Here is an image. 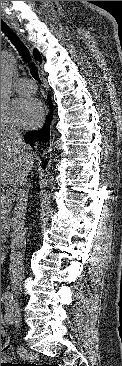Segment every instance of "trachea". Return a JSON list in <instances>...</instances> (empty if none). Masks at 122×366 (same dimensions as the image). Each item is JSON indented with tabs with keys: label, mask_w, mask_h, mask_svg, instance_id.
<instances>
[{
	"label": "trachea",
	"mask_w": 122,
	"mask_h": 366,
	"mask_svg": "<svg viewBox=\"0 0 122 366\" xmlns=\"http://www.w3.org/2000/svg\"><path fill=\"white\" fill-rule=\"evenodd\" d=\"M1 31L8 37V39L12 42V44L15 46V48L18 50L21 57L26 61H30V57L28 54V49L24 45V43L17 37V35L7 26L6 23H4L1 20ZM32 77L38 81L41 82L38 69L35 65L31 64L30 69Z\"/></svg>",
	"instance_id": "1"
}]
</instances>
